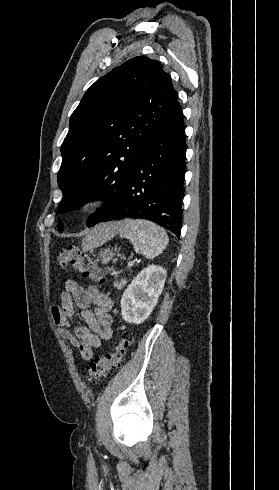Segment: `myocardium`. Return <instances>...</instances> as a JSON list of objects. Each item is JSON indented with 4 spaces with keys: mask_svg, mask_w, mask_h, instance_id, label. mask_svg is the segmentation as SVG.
Returning <instances> with one entry per match:
<instances>
[{
    "mask_svg": "<svg viewBox=\"0 0 279 490\" xmlns=\"http://www.w3.org/2000/svg\"><path fill=\"white\" fill-rule=\"evenodd\" d=\"M111 199L112 194L108 189L102 187L90 188L84 194L80 202V208L83 212H90L106 205Z\"/></svg>",
    "mask_w": 279,
    "mask_h": 490,
    "instance_id": "myocardium-1",
    "label": "myocardium"
}]
</instances>
